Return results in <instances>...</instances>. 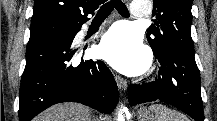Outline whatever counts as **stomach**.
Instances as JSON below:
<instances>
[{
    "instance_id": "obj_1",
    "label": "stomach",
    "mask_w": 217,
    "mask_h": 121,
    "mask_svg": "<svg viewBox=\"0 0 217 121\" xmlns=\"http://www.w3.org/2000/svg\"><path fill=\"white\" fill-rule=\"evenodd\" d=\"M138 121H154L152 112L146 107H140L137 110Z\"/></svg>"
}]
</instances>
